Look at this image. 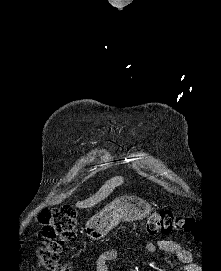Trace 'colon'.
<instances>
[{
	"mask_svg": "<svg viewBox=\"0 0 221 271\" xmlns=\"http://www.w3.org/2000/svg\"><path fill=\"white\" fill-rule=\"evenodd\" d=\"M77 217L76 210L67 204L44 207L37 213V222L41 225L39 235L48 242L37 249L36 256L46 271H69L68 266L60 260L59 253L64 243L74 240ZM146 228L151 234L159 231L192 233L199 228V223L192 217L154 211L146 220Z\"/></svg>",
	"mask_w": 221,
	"mask_h": 271,
	"instance_id": "colon-1",
	"label": "colon"
}]
</instances>
